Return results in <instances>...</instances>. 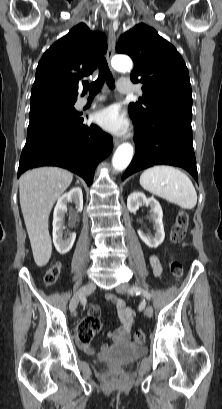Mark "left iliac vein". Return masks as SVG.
<instances>
[{"label":"left iliac vein","instance_id":"4c4485c4","mask_svg":"<svg viewBox=\"0 0 222 409\" xmlns=\"http://www.w3.org/2000/svg\"><path fill=\"white\" fill-rule=\"evenodd\" d=\"M128 288H129V285H128V284L122 283V284H119V285L116 287V292L119 293V294H125V293H127ZM145 314H146L147 317H151V316L153 315V308H152L151 305H147V306H146V308H145Z\"/></svg>","mask_w":222,"mask_h":409}]
</instances>
